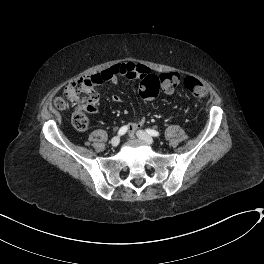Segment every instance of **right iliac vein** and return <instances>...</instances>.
Here are the masks:
<instances>
[{
  "label": "right iliac vein",
  "mask_w": 264,
  "mask_h": 264,
  "mask_svg": "<svg viewBox=\"0 0 264 264\" xmlns=\"http://www.w3.org/2000/svg\"><path fill=\"white\" fill-rule=\"evenodd\" d=\"M119 143H120V137L119 136H116V137L112 138L111 145L113 147H117Z\"/></svg>",
  "instance_id": "63e3f726"
}]
</instances>
